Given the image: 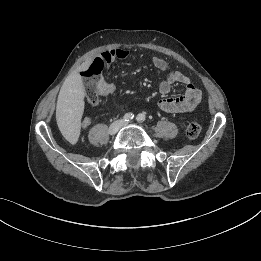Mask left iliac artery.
Returning <instances> with one entry per match:
<instances>
[{"mask_svg": "<svg viewBox=\"0 0 261 261\" xmlns=\"http://www.w3.org/2000/svg\"><path fill=\"white\" fill-rule=\"evenodd\" d=\"M136 120L140 123L145 121V115L144 114H138V116L136 117Z\"/></svg>", "mask_w": 261, "mask_h": 261, "instance_id": "44dca946", "label": "left iliac artery"}]
</instances>
